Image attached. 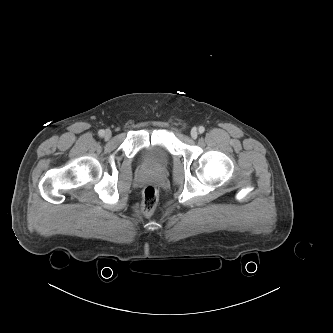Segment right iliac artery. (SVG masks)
Returning a JSON list of instances; mask_svg holds the SVG:
<instances>
[{
  "instance_id": "82829eb1",
  "label": "right iliac artery",
  "mask_w": 333,
  "mask_h": 333,
  "mask_svg": "<svg viewBox=\"0 0 333 333\" xmlns=\"http://www.w3.org/2000/svg\"><path fill=\"white\" fill-rule=\"evenodd\" d=\"M104 133H105V131L102 130V129L98 131V134H99V136H101V137L104 135Z\"/></svg>"
}]
</instances>
